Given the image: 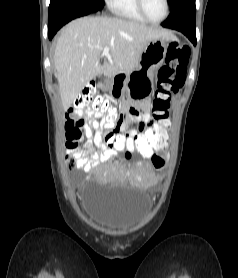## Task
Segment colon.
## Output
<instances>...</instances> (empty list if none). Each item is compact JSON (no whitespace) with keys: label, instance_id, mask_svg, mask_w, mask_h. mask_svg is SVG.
<instances>
[{"label":"colon","instance_id":"colon-1","mask_svg":"<svg viewBox=\"0 0 238 278\" xmlns=\"http://www.w3.org/2000/svg\"><path fill=\"white\" fill-rule=\"evenodd\" d=\"M190 57L188 47L176 42L168 45L166 51L165 63L157 72V89L153 99L152 116L155 124H150L146 137H117L119 134V123L122 115L112 108L109 100L99 94L93 85L87 86L75 99L74 107L71 113L74 119L65 123L67 136V148L77 146V142L83 137V124L85 123L83 114L91 115L101 113L108 118L100 130L101 148L105 156L109 153L121 154V159H148L155 167L163 166L164 161L156 156V149H168V141H165L163 135L169 127V111L171 109V100L184 85L186 78V69ZM165 129V130H161ZM68 168L73 169L76 166V159L69 154L66 158Z\"/></svg>","mask_w":238,"mask_h":278}]
</instances>
